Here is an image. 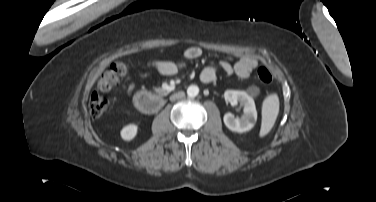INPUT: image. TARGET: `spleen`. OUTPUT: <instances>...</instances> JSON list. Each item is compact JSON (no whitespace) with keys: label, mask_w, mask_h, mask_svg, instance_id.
<instances>
[{"label":"spleen","mask_w":376,"mask_h":202,"mask_svg":"<svg viewBox=\"0 0 376 202\" xmlns=\"http://www.w3.org/2000/svg\"><path fill=\"white\" fill-rule=\"evenodd\" d=\"M279 112V99L276 94L268 96L262 106L260 136H265L273 127Z\"/></svg>","instance_id":"spleen-1"}]
</instances>
